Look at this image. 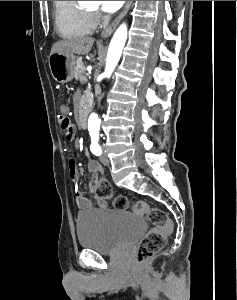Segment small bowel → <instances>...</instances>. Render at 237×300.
Instances as JSON below:
<instances>
[{
    "label": "small bowel",
    "instance_id": "small-bowel-1",
    "mask_svg": "<svg viewBox=\"0 0 237 300\" xmlns=\"http://www.w3.org/2000/svg\"><path fill=\"white\" fill-rule=\"evenodd\" d=\"M61 111L64 114H67L69 112V109L67 106L63 105L61 107ZM88 170L91 174L96 175V174H102V167L100 166L99 163L95 162V161H90L88 164ZM69 174H70V178L74 184V192H75V196H76V201L77 204L79 205L80 208L83 209H89L92 208L94 206H98V207H105L106 203L104 201H99V200H91L89 198H87L84 193H82L79 190L78 187V167L76 164V161L74 158H70L69 159Z\"/></svg>",
    "mask_w": 237,
    "mask_h": 300
}]
</instances>
